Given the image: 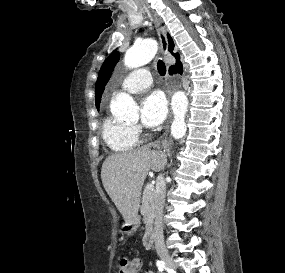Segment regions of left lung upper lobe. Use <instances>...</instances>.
<instances>
[{"label":"left lung upper lobe","instance_id":"left-lung-upper-lobe-1","mask_svg":"<svg viewBox=\"0 0 285 273\" xmlns=\"http://www.w3.org/2000/svg\"><path fill=\"white\" fill-rule=\"evenodd\" d=\"M119 61V53L113 52L111 53L108 58L105 60L104 64L102 65L97 82L95 84V96H96V107L99 108V104L101 101V95L107 84L112 71L114 69L115 64Z\"/></svg>","mask_w":285,"mask_h":273}]
</instances>
